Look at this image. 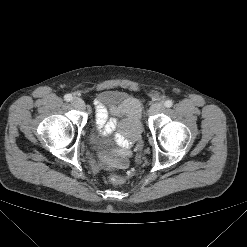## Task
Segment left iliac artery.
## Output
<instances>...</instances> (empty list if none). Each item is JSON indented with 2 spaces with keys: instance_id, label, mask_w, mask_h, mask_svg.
Returning <instances> with one entry per match:
<instances>
[{
  "instance_id": "left-iliac-artery-1",
  "label": "left iliac artery",
  "mask_w": 247,
  "mask_h": 247,
  "mask_svg": "<svg viewBox=\"0 0 247 247\" xmlns=\"http://www.w3.org/2000/svg\"><path fill=\"white\" fill-rule=\"evenodd\" d=\"M172 105H173V102L171 100H166L165 103H164V106L167 107V108L172 107Z\"/></svg>"
}]
</instances>
